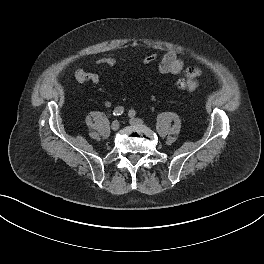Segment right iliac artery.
<instances>
[{
    "label": "right iliac artery",
    "instance_id": "82829eb1",
    "mask_svg": "<svg viewBox=\"0 0 264 264\" xmlns=\"http://www.w3.org/2000/svg\"><path fill=\"white\" fill-rule=\"evenodd\" d=\"M123 112H124V108L121 107V106H119V107H116V108L114 109V111H113V115H114V116H119V115L123 114Z\"/></svg>",
    "mask_w": 264,
    "mask_h": 264
}]
</instances>
